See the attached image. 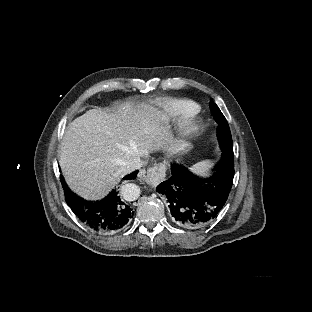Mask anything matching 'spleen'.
Returning a JSON list of instances; mask_svg holds the SVG:
<instances>
[{"mask_svg": "<svg viewBox=\"0 0 312 312\" xmlns=\"http://www.w3.org/2000/svg\"><path fill=\"white\" fill-rule=\"evenodd\" d=\"M192 170L200 174H207L212 170V162L210 160L201 161L192 166Z\"/></svg>", "mask_w": 312, "mask_h": 312, "instance_id": "spleen-1", "label": "spleen"}]
</instances>
